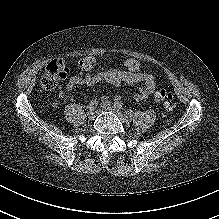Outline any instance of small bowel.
I'll use <instances>...</instances> for the list:
<instances>
[{"instance_id": "1", "label": "small bowel", "mask_w": 219, "mask_h": 219, "mask_svg": "<svg viewBox=\"0 0 219 219\" xmlns=\"http://www.w3.org/2000/svg\"><path fill=\"white\" fill-rule=\"evenodd\" d=\"M84 59L79 61L80 71L77 75L72 76L67 84L66 90L71 91L74 87L80 85L94 86L99 82H106L111 85L119 86L121 83L134 85L142 83L143 86L135 94L136 101L146 100L155 91L156 82L153 75L141 72V63L136 59H128L125 61V70H106L97 73H90L83 65ZM65 96L64 91H60L58 97L62 99ZM107 102V98L102 99Z\"/></svg>"}]
</instances>
